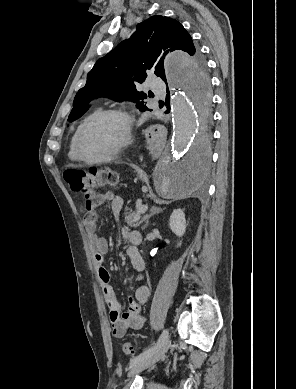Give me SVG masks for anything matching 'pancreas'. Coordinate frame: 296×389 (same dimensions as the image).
I'll list each match as a JSON object with an SVG mask.
<instances>
[{"label": "pancreas", "instance_id": "pancreas-1", "mask_svg": "<svg viewBox=\"0 0 296 389\" xmlns=\"http://www.w3.org/2000/svg\"><path fill=\"white\" fill-rule=\"evenodd\" d=\"M146 220V216H142L138 211L137 212H125V221L130 227H138Z\"/></svg>", "mask_w": 296, "mask_h": 389}]
</instances>
